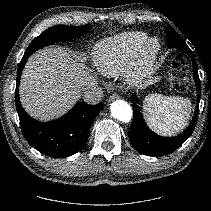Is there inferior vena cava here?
Returning a JSON list of instances; mask_svg holds the SVG:
<instances>
[{"label":"inferior vena cava","instance_id":"inferior-vena-cava-1","mask_svg":"<svg viewBox=\"0 0 211 211\" xmlns=\"http://www.w3.org/2000/svg\"><path fill=\"white\" fill-rule=\"evenodd\" d=\"M82 93L84 101L88 104H97L103 97L102 89L96 86H87Z\"/></svg>","mask_w":211,"mask_h":211}]
</instances>
